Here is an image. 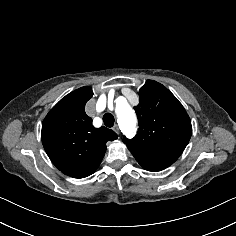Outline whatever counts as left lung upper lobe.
Instances as JSON below:
<instances>
[{"label": "left lung upper lobe", "mask_w": 236, "mask_h": 236, "mask_svg": "<svg viewBox=\"0 0 236 236\" xmlns=\"http://www.w3.org/2000/svg\"><path fill=\"white\" fill-rule=\"evenodd\" d=\"M134 107L139 129L133 139L123 142L137 162L148 171H161L173 164L187 146L192 126L176 97L162 84L147 80L139 90Z\"/></svg>", "instance_id": "5c2ea615"}]
</instances>
